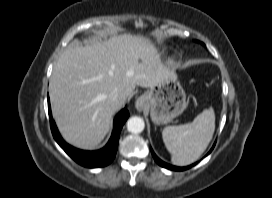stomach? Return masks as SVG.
<instances>
[{"instance_id":"obj_1","label":"stomach","mask_w":272,"mask_h":198,"mask_svg":"<svg viewBox=\"0 0 272 198\" xmlns=\"http://www.w3.org/2000/svg\"><path fill=\"white\" fill-rule=\"evenodd\" d=\"M144 97L150 117L157 125L169 123L187 107L186 94L173 71H169L168 76L150 88Z\"/></svg>"}]
</instances>
